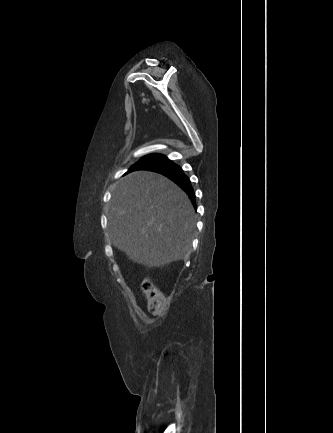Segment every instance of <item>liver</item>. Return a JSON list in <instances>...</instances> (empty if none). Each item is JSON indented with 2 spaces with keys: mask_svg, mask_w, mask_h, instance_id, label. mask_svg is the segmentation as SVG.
Here are the masks:
<instances>
[{
  "mask_svg": "<svg viewBox=\"0 0 333 433\" xmlns=\"http://www.w3.org/2000/svg\"><path fill=\"white\" fill-rule=\"evenodd\" d=\"M194 214L175 183L158 173L135 171L113 190L108 228L114 246L129 259L159 267L188 257Z\"/></svg>",
  "mask_w": 333,
  "mask_h": 433,
  "instance_id": "liver-1",
  "label": "liver"
}]
</instances>
